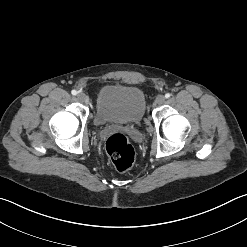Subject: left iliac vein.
Masks as SVG:
<instances>
[{
	"instance_id": "4c4485c4",
	"label": "left iliac vein",
	"mask_w": 247,
	"mask_h": 247,
	"mask_svg": "<svg viewBox=\"0 0 247 247\" xmlns=\"http://www.w3.org/2000/svg\"><path fill=\"white\" fill-rule=\"evenodd\" d=\"M165 102V97L163 95H158L156 98V103L161 105Z\"/></svg>"
}]
</instances>
